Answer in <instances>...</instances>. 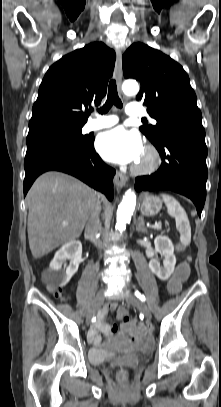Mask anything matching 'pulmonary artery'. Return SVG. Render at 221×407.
<instances>
[{
  "instance_id": "pulmonary-artery-1",
  "label": "pulmonary artery",
  "mask_w": 221,
  "mask_h": 407,
  "mask_svg": "<svg viewBox=\"0 0 221 407\" xmlns=\"http://www.w3.org/2000/svg\"><path fill=\"white\" fill-rule=\"evenodd\" d=\"M126 114L131 117H141L145 116L146 112L145 110L137 103H130L126 107ZM155 122L154 120H152ZM118 122V118L114 115L110 116H100L96 115V118L90 120L86 126L85 130L86 131H96L104 128L111 127L115 125Z\"/></svg>"
}]
</instances>
